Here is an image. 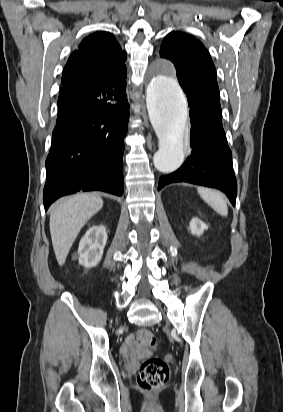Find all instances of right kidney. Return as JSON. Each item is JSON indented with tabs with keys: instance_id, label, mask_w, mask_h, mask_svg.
Here are the masks:
<instances>
[{
	"instance_id": "obj_1",
	"label": "right kidney",
	"mask_w": 283,
	"mask_h": 412,
	"mask_svg": "<svg viewBox=\"0 0 283 412\" xmlns=\"http://www.w3.org/2000/svg\"><path fill=\"white\" fill-rule=\"evenodd\" d=\"M106 242L107 233L103 225L89 228L79 243V264L86 268L96 266L102 258Z\"/></svg>"
}]
</instances>
